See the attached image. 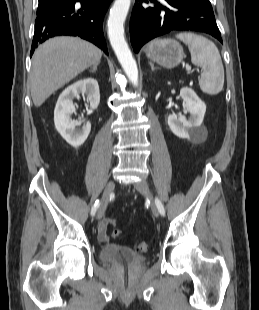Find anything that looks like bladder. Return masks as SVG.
Segmentation results:
<instances>
[{
	"instance_id": "1",
	"label": "bladder",
	"mask_w": 259,
	"mask_h": 310,
	"mask_svg": "<svg viewBox=\"0 0 259 310\" xmlns=\"http://www.w3.org/2000/svg\"><path fill=\"white\" fill-rule=\"evenodd\" d=\"M99 258L119 266H132L145 261V256L116 244H105L100 249Z\"/></svg>"
}]
</instances>
